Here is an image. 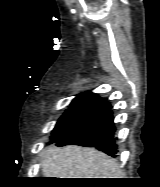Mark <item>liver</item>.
<instances>
[{
  "label": "liver",
  "instance_id": "6515ba94",
  "mask_svg": "<svg viewBox=\"0 0 160 187\" xmlns=\"http://www.w3.org/2000/svg\"><path fill=\"white\" fill-rule=\"evenodd\" d=\"M42 172L46 178H119L115 159L93 148L49 147L42 152Z\"/></svg>",
  "mask_w": 160,
  "mask_h": 187
}]
</instances>
